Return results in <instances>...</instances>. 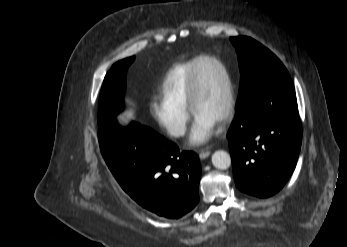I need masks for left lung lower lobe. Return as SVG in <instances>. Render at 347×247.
Returning <instances> with one entry per match:
<instances>
[{
	"label": "left lung lower lobe",
	"instance_id": "obj_1",
	"mask_svg": "<svg viewBox=\"0 0 347 247\" xmlns=\"http://www.w3.org/2000/svg\"><path fill=\"white\" fill-rule=\"evenodd\" d=\"M227 137L241 191L266 198L281 190L296 166L302 139L292 80L260 89L237 110Z\"/></svg>",
	"mask_w": 347,
	"mask_h": 247
}]
</instances>
